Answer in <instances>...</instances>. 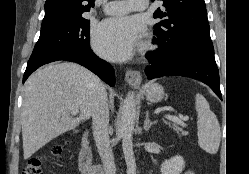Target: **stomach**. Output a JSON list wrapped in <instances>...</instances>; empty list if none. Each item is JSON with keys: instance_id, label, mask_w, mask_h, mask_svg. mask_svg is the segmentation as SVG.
<instances>
[{"instance_id": "stomach-1", "label": "stomach", "mask_w": 249, "mask_h": 174, "mask_svg": "<svg viewBox=\"0 0 249 174\" xmlns=\"http://www.w3.org/2000/svg\"><path fill=\"white\" fill-rule=\"evenodd\" d=\"M143 89L147 100L153 103L160 102L165 96L163 87L158 83H147L144 85Z\"/></svg>"}]
</instances>
